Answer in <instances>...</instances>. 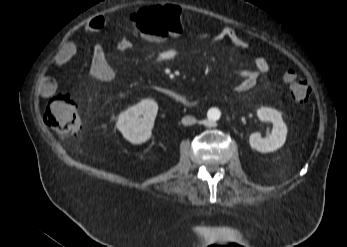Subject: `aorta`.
Masks as SVG:
<instances>
[{"mask_svg": "<svg viewBox=\"0 0 347 247\" xmlns=\"http://www.w3.org/2000/svg\"><path fill=\"white\" fill-rule=\"evenodd\" d=\"M221 112L217 108H211L208 110L207 118L209 122H216L219 120Z\"/></svg>", "mask_w": 347, "mask_h": 247, "instance_id": "aorta-1", "label": "aorta"}]
</instances>
